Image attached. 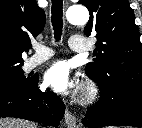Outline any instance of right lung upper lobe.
<instances>
[{"label":"right lung upper lobe","mask_w":142,"mask_h":128,"mask_svg":"<svg viewBox=\"0 0 142 128\" xmlns=\"http://www.w3.org/2000/svg\"><path fill=\"white\" fill-rule=\"evenodd\" d=\"M45 21L36 0H0V66H22V52L31 47Z\"/></svg>","instance_id":"cb5924a9"}]
</instances>
